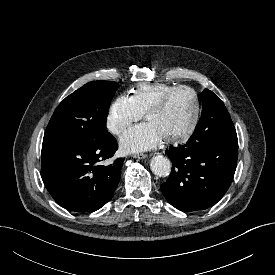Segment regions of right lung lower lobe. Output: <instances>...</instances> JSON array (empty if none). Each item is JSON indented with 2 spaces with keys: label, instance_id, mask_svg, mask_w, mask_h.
Listing matches in <instances>:
<instances>
[{
  "label": "right lung lower lobe",
  "instance_id": "obj_1",
  "mask_svg": "<svg viewBox=\"0 0 275 275\" xmlns=\"http://www.w3.org/2000/svg\"><path fill=\"white\" fill-rule=\"evenodd\" d=\"M117 149L111 134L95 142L43 143L41 177L56 203L75 212H93L106 204L119 183L124 158L108 166L100 162Z\"/></svg>",
  "mask_w": 275,
  "mask_h": 275
}]
</instances>
